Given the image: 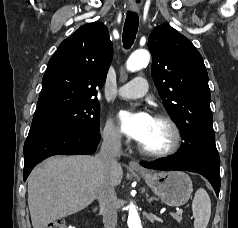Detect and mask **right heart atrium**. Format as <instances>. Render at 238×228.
<instances>
[{"mask_svg":"<svg viewBox=\"0 0 238 228\" xmlns=\"http://www.w3.org/2000/svg\"><path fill=\"white\" fill-rule=\"evenodd\" d=\"M103 141L111 146H120L122 144V135L114 122L109 119L102 130Z\"/></svg>","mask_w":238,"mask_h":228,"instance_id":"obj_1","label":"right heart atrium"}]
</instances>
